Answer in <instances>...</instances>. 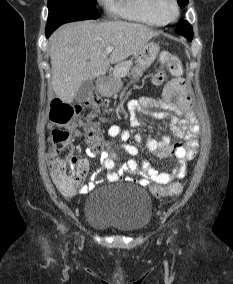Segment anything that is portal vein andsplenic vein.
<instances>
[{"mask_svg":"<svg viewBox=\"0 0 233 284\" xmlns=\"http://www.w3.org/2000/svg\"><path fill=\"white\" fill-rule=\"evenodd\" d=\"M112 51H113V47L112 46L106 47V52L107 53H111Z\"/></svg>","mask_w":233,"mask_h":284,"instance_id":"obj_1","label":"portal vein and splenic vein"}]
</instances>
